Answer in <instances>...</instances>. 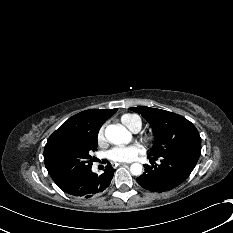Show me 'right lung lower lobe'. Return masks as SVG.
I'll return each instance as SVG.
<instances>
[{
	"label": "right lung lower lobe",
	"mask_w": 233,
	"mask_h": 233,
	"mask_svg": "<svg viewBox=\"0 0 233 233\" xmlns=\"http://www.w3.org/2000/svg\"><path fill=\"white\" fill-rule=\"evenodd\" d=\"M115 169L108 163L100 175L92 172L91 167L84 169L71 178L57 185L66 193L83 198H90L103 192L110 184Z\"/></svg>",
	"instance_id": "obj_1"
}]
</instances>
